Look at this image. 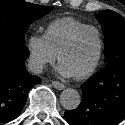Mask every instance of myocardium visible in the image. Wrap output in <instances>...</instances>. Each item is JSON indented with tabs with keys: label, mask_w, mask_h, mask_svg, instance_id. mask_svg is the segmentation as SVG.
<instances>
[{
	"label": "myocardium",
	"mask_w": 125,
	"mask_h": 125,
	"mask_svg": "<svg viewBox=\"0 0 125 125\" xmlns=\"http://www.w3.org/2000/svg\"><path fill=\"white\" fill-rule=\"evenodd\" d=\"M88 30H93L96 32L97 36H98V40H99V48H98V52L97 55L93 61V63L91 64V66L84 71L83 73H80L78 75H72L75 79L81 80V79H85L90 77L96 70V68L99 65V62L101 60L102 57V53H103V47H104V42H103V37H102V33L101 31L92 25H87L83 28L78 29L77 31H75L70 37L69 39L63 44V46L60 48L58 54H57V58L59 60V62L61 63V58L63 56V54L65 52H67L75 43V41L77 40V38L85 31Z\"/></svg>",
	"instance_id": "1"
}]
</instances>
